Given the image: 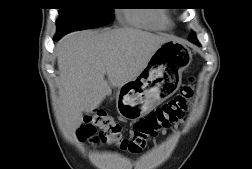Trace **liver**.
Instances as JSON below:
<instances>
[{
  "instance_id": "1",
  "label": "liver",
  "mask_w": 252,
  "mask_h": 169,
  "mask_svg": "<svg viewBox=\"0 0 252 169\" xmlns=\"http://www.w3.org/2000/svg\"><path fill=\"white\" fill-rule=\"evenodd\" d=\"M172 37L123 27L101 33L77 31L57 44L58 90L67 132H74L83 113L96 109L112 88L135 79L154 52ZM107 76V79L105 78Z\"/></svg>"
}]
</instances>
